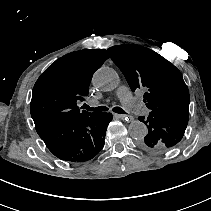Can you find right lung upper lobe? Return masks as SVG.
Wrapping results in <instances>:
<instances>
[{
	"instance_id": "obj_1",
	"label": "right lung upper lobe",
	"mask_w": 211,
	"mask_h": 211,
	"mask_svg": "<svg viewBox=\"0 0 211 211\" xmlns=\"http://www.w3.org/2000/svg\"><path fill=\"white\" fill-rule=\"evenodd\" d=\"M108 58L106 50H79L59 58L41 74L30 104L38 134L92 114L81 112L77 103L87 96L93 73Z\"/></svg>"
}]
</instances>
